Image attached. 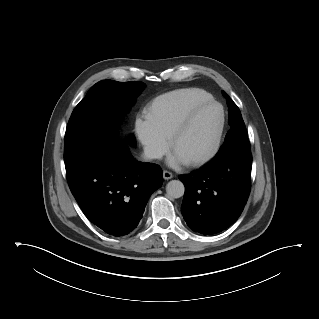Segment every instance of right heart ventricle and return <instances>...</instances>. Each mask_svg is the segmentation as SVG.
I'll list each match as a JSON object with an SVG mask.
<instances>
[{"instance_id": "obj_1", "label": "right heart ventricle", "mask_w": 319, "mask_h": 319, "mask_svg": "<svg viewBox=\"0 0 319 319\" xmlns=\"http://www.w3.org/2000/svg\"><path fill=\"white\" fill-rule=\"evenodd\" d=\"M200 88H183L155 97L146 108V118L165 137L170 138L174 129L196 104L211 99Z\"/></svg>"}]
</instances>
